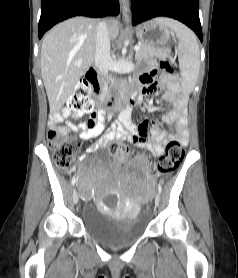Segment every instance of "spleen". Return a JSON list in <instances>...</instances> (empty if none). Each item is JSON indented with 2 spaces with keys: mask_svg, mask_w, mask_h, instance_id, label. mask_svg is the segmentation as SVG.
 <instances>
[{
  "mask_svg": "<svg viewBox=\"0 0 238 278\" xmlns=\"http://www.w3.org/2000/svg\"><path fill=\"white\" fill-rule=\"evenodd\" d=\"M158 19L171 31L175 32L179 40L178 59L182 77L181 85L183 92L190 94L195 87L200 67L197 37L192 30L179 21L165 17Z\"/></svg>",
  "mask_w": 238,
  "mask_h": 278,
  "instance_id": "1",
  "label": "spleen"
}]
</instances>
